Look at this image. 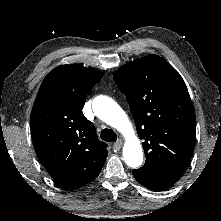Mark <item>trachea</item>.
Returning a JSON list of instances; mask_svg holds the SVG:
<instances>
[{
  "label": "trachea",
  "instance_id": "3493384b",
  "mask_svg": "<svg viewBox=\"0 0 221 221\" xmlns=\"http://www.w3.org/2000/svg\"><path fill=\"white\" fill-rule=\"evenodd\" d=\"M100 137L106 142H114L117 140V135L112 129H103Z\"/></svg>",
  "mask_w": 221,
  "mask_h": 221
}]
</instances>
